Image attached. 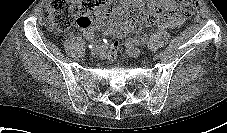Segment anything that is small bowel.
I'll return each mask as SVG.
<instances>
[{
	"mask_svg": "<svg viewBox=\"0 0 227 133\" xmlns=\"http://www.w3.org/2000/svg\"><path fill=\"white\" fill-rule=\"evenodd\" d=\"M148 6L151 9H164L167 11L166 19L162 23H158L163 28H175L182 24L183 19L175 12V1L174 0H147ZM132 7H138L143 9V0H122L121 7L116 11V13L110 17L108 20H98L94 25L84 31V36L86 39H92L94 37V32L104 25H106L105 33L107 35H113L119 38L126 36L134 26L140 31L138 24H135L131 18L129 11ZM152 25L155 23H147Z\"/></svg>",
	"mask_w": 227,
	"mask_h": 133,
	"instance_id": "1",
	"label": "small bowel"
}]
</instances>
